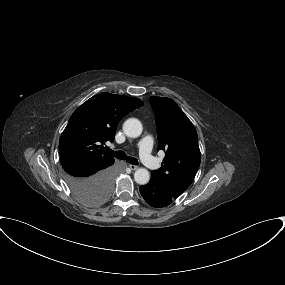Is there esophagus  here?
I'll return each instance as SVG.
<instances>
[{
	"label": "esophagus",
	"instance_id": "1",
	"mask_svg": "<svg viewBox=\"0 0 285 285\" xmlns=\"http://www.w3.org/2000/svg\"><path fill=\"white\" fill-rule=\"evenodd\" d=\"M129 168H130L131 170H136V169L138 168V166L133 165V164H130V165H129Z\"/></svg>",
	"mask_w": 285,
	"mask_h": 285
}]
</instances>
